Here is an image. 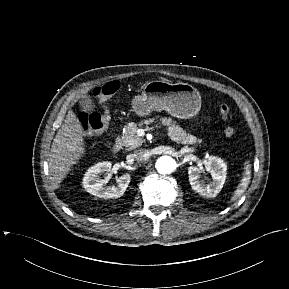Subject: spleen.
Instances as JSON below:
<instances>
[{
  "label": "spleen",
  "mask_w": 289,
  "mask_h": 289,
  "mask_svg": "<svg viewBox=\"0 0 289 289\" xmlns=\"http://www.w3.org/2000/svg\"><path fill=\"white\" fill-rule=\"evenodd\" d=\"M244 169H245V171L243 173V177H242L240 183L238 184L237 189L234 191V194L231 198V201H236L237 199H239L242 196V194L246 191V189L250 183L251 164L246 163Z\"/></svg>",
  "instance_id": "spleen-1"
}]
</instances>
